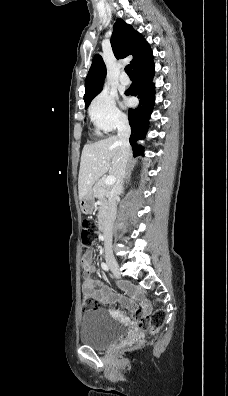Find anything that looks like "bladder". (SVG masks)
I'll return each instance as SVG.
<instances>
[{
	"mask_svg": "<svg viewBox=\"0 0 228 396\" xmlns=\"http://www.w3.org/2000/svg\"><path fill=\"white\" fill-rule=\"evenodd\" d=\"M128 328L113 320L105 309H94L83 314L80 321V341L94 349H104L122 340Z\"/></svg>",
	"mask_w": 228,
	"mask_h": 396,
	"instance_id": "obj_1",
	"label": "bladder"
}]
</instances>
